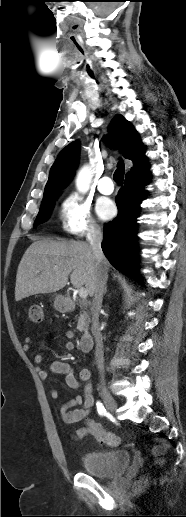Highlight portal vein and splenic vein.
<instances>
[{
    "mask_svg": "<svg viewBox=\"0 0 186 517\" xmlns=\"http://www.w3.org/2000/svg\"><path fill=\"white\" fill-rule=\"evenodd\" d=\"M88 296V292L85 288L83 287H80L79 288V297L82 298V299H86Z\"/></svg>",
    "mask_w": 186,
    "mask_h": 517,
    "instance_id": "obj_1",
    "label": "portal vein and splenic vein"
}]
</instances>
